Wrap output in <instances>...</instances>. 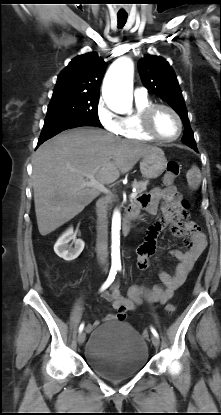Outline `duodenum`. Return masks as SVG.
Listing matches in <instances>:
<instances>
[{
    "label": "duodenum",
    "mask_w": 221,
    "mask_h": 415,
    "mask_svg": "<svg viewBox=\"0 0 221 415\" xmlns=\"http://www.w3.org/2000/svg\"><path fill=\"white\" fill-rule=\"evenodd\" d=\"M137 215L138 211L133 205L127 208L122 222V230L124 234H129L131 232L133 221L135 220Z\"/></svg>",
    "instance_id": "duodenum-1"
}]
</instances>
